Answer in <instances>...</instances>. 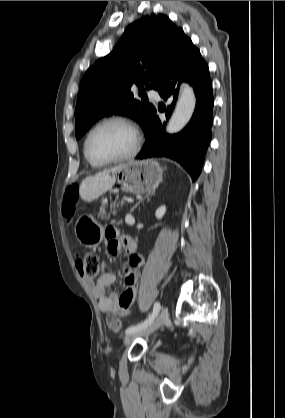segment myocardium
Instances as JSON below:
<instances>
[{"instance_id":"f54148a6","label":"myocardium","mask_w":285,"mask_h":418,"mask_svg":"<svg viewBox=\"0 0 285 418\" xmlns=\"http://www.w3.org/2000/svg\"><path fill=\"white\" fill-rule=\"evenodd\" d=\"M108 124H119V125H123L127 128H129L133 134H134V144L132 149L121 156L118 157H114V158H110V159H106V160H97L95 158H93L89 152V141L91 136L94 134V132L96 130H98L99 128L108 125ZM139 145H140V136H139V131L136 128V126L130 122L129 120L122 118V117H109L106 119L101 120L100 122H98L97 124H95L90 131L88 132L85 140H84V155L86 157V159L95 166H105V165H110V164H114V163H118V162H122L128 159L133 158L138 150H139Z\"/></svg>"}]
</instances>
